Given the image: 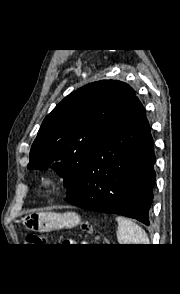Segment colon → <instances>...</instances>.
I'll use <instances>...</instances> for the list:
<instances>
[{
  "instance_id": "obj_1",
  "label": "colon",
  "mask_w": 180,
  "mask_h": 294,
  "mask_svg": "<svg viewBox=\"0 0 180 294\" xmlns=\"http://www.w3.org/2000/svg\"><path fill=\"white\" fill-rule=\"evenodd\" d=\"M82 230L88 234H92V232H93L92 227L89 224H83ZM98 240H99L98 236L95 235L94 241L98 242ZM26 241L28 244L35 245V244L42 243L44 241V238L39 234L31 233V234L27 235Z\"/></svg>"
}]
</instances>
